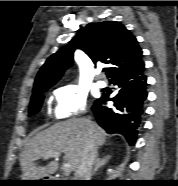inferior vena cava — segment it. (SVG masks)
<instances>
[{
    "label": "inferior vena cava",
    "instance_id": "obj_1",
    "mask_svg": "<svg viewBox=\"0 0 178 186\" xmlns=\"http://www.w3.org/2000/svg\"><path fill=\"white\" fill-rule=\"evenodd\" d=\"M87 133L86 141L82 153V158L75 171V180H91L93 166L97 156V146L91 133V123L86 121Z\"/></svg>",
    "mask_w": 178,
    "mask_h": 186
}]
</instances>
